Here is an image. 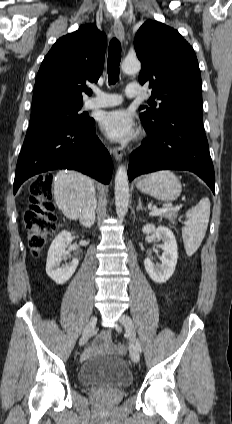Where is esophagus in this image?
I'll use <instances>...</instances> for the list:
<instances>
[{
  "label": "esophagus",
  "mask_w": 232,
  "mask_h": 424,
  "mask_svg": "<svg viewBox=\"0 0 232 424\" xmlns=\"http://www.w3.org/2000/svg\"><path fill=\"white\" fill-rule=\"evenodd\" d=\"M113 30H114L115 36L120 41H124V38H125L124 27L122 22L119 19H115L113 24ZM112 153L117 161H120L123 157V153L119 147H114L112 149Z\"/></svg>",
  "instance_id": "34e87169"
}]
</instances>
